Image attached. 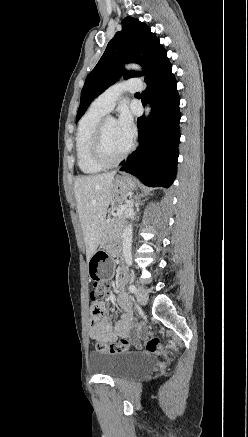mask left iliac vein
Listing matches in <instances>:
<instances>
[{
    "label": "left iliac vein",
    "mask_w": 248,
    "mask_h": 437,
    "mask_svg": "<svg viewBox=\"0 0 248 437\" xmlns=\"http://www.w3.org/2000/svg\"><path fill=\"white\" fill-rule=\"evenodd\" d=\"M136 298L137 301L141 304V305H146V303L148 302V292L146 291V289H144L143 287H139L136 291Z\"/></svg>",
    "instance_id": "4c4485c4"
}]
</instances>
